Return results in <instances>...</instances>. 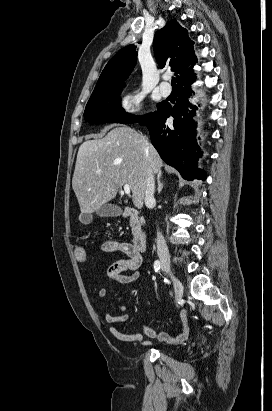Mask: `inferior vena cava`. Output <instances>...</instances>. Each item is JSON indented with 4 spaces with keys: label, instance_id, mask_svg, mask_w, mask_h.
<instances>
[{
    "label": "inferior vena cava",
    "instance_id": "602c4592",
    "mask_svg": "<svg viewBox=\"0 0 272 411\" xmlns=\"http://www.w3.org/2000/svg\"><path fill=\"white\" fill-rule=\"evenodd\" d=\"M154 192H155L154 176H153L152 170L149 169L148 174H147L145 197H144L146 206L155 205L156 201L154 198ZM156 244H157V254L159 256V259L162 262H169L170 255H169L168 247H167L166 241L162 233L159 231H157Z\"/></svg>",
    "mask_w": 272,
    "mask_h": 411
}]
</instances>
